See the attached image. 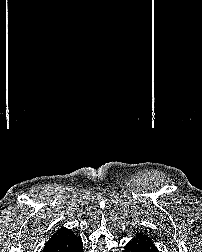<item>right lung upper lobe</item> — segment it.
Returning a JSON list of instances; mask_svg holds the SVG:
<instances>
[{
    "mask_svg": "<svg viewBox=\"0 0 202 252\" xmlns=\"http://www.w3.org/2000/svg\"><path fill=\"white\" fill-rule=\"evenodd\" d=\"M80 243L70 229L61 228L45 244L43 252H74Z\"/></svg>",
    "mask_w": 202,
    "mask_h": 252,
    "instance_id": "cb5924a9",
    "label": "right lung upper lobe"
}]
</instances>
